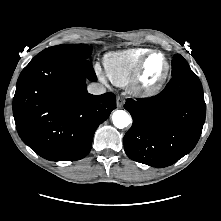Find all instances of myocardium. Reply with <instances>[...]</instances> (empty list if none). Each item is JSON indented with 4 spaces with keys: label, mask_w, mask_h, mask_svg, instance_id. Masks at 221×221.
Returning a JSON list of instances; mask_svg holds the SVG:
<instances>
[{
    "label": "myocardium",
    "mask_w": 221,
    "mask_h": 221,
    "mask_svg": "<svg viewBox=\"0 0 221 221\" xmlns=\"http://www.w3.org/2000/svg\"><path fill=\"white\" fill-rule=\"evenodd\" d=\"M155 54H161L165 59L164 73L153 83H147L145 80V69L148 60ZM171 71V63L167 55L161 50H150L139 62L137 69L132 77L131 85L134 92L142 96H151L158 93L164 86Z\"/></svg>",
    "instance_id": "obj_1"
}]
</instances>
